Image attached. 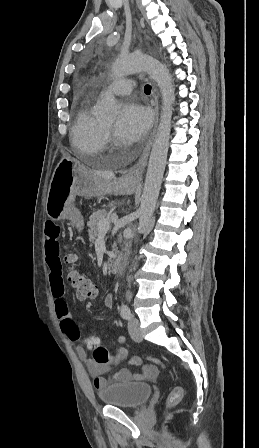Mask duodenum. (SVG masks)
Returning a JSON list of instances; mask_svg holds the SVG:
<instances>
[{
	"mask_svg": "<svg viewBox=\"0 0 259 448\" xmlns=\"http://www.w3.org/2000/svg\"><path fill=\"white\" fill-rule=\"evenodd\" d=\"M122 268V259L120 257H116L113 259L109 265V270L111 273L116 274Z\"/></svg>",
	"mask_w": 259,
	"mask_h": 448,
	"instance_id": "duodenum-1",
	"label": "duodenum"
}]
</instances>
